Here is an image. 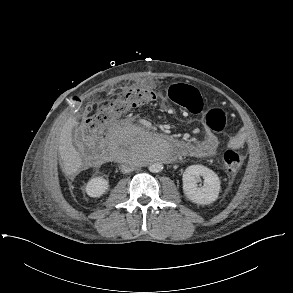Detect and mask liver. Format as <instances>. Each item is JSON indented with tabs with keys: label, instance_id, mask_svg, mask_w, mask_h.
Instances as JSON below:
<instances>
[{
	"label": "liver",
	"instance_id": "1",
	"mask_svg": "<svg viewBox=\"0 0 293 293\" xmlns=\"http://www.w3.org/2000/svg\"><path fill=\"white\" fill-rule=\"evenodd\" d=\"M77 125L75 117H70L62 126L59 135V155L61 168L66 176L75 175L82 166V159L72 143V129Z\"/></svg>",
	"mask_w": 293,
	"mask_h": 293
}]
</instances>
